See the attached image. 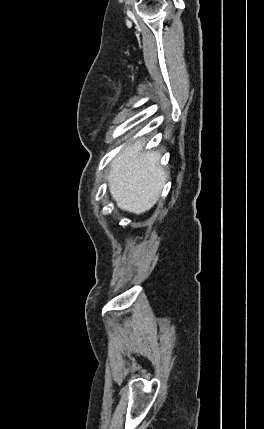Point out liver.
Here are the masks:
<instances>
[{"label":"liver","instance_id":"liver-1","mask_svg":"<svg viewBox=\"0 0 264 429\" xmlns=\"http://www.w3.org/2000/svg\"><path fill=\"white\" fill-rule=\"evenodd\" d=\"M145 139L127 146L111 163L109 190L117 206L142 214L159 198L168 175L160 166L158 151L142 152Z\"/></svg>","mask_w":264,"mask_h":429}]
</instances>
